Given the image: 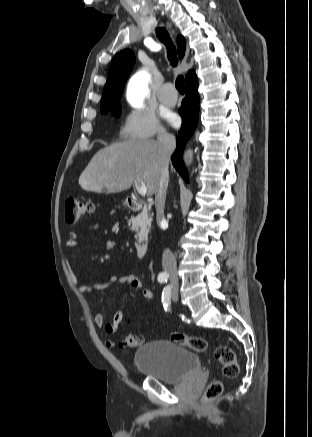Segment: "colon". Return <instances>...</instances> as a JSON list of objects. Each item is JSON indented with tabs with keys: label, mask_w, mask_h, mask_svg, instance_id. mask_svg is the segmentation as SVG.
<instances>
[{
	"label": "colon",
	"mask_w": 312,
	"mask_h": 437,
	"mask_svg": "<svg viewBox=\"0 0 312 437\" xmlns=\"http://www.w3.org/2000/svg\"><path fill=\"white\" fill-rule=\"evenodd\" d=\"M95 209V205L92 201L81 200L76 198H68L65 203V220L69 224H73L92 213ZM170 340L181 345L188 347L198 353H203L208 350V343L206 340L188 336L180 332H172L170 334ZM142 342V339L128 333L123 341V344L127 347H137ZM214 359L222 365L223 375L227 378H234L239 373V363L237 361L234 351L226 345H218L213 349ZM223 392V383L220 380L213 381L205 392L206 400H213L219 397Z\"/></svg>",
	"instance_id": "5ec220e1"
}]
</instances>
